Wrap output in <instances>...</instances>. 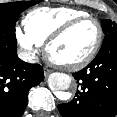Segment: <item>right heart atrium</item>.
<instances>
[{
    "label": "right heart atrium",
    "instance_id": "obj_1",
    "mask_svg": "<svg viewBox=\"0 0 117 117\" xmlns=\"http://www.w3.org/2000/svg\"><path fill=\"white\" fill-rule=\"evenodd\" d=\"M18 44L28 57H34L38 52V43L32 40L20 27L15 29Z\"/></svg>",
    "mask_w": 117,
    "mask_h": 117
}]
</instances>
